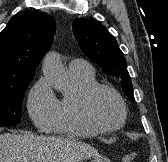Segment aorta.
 Here are the masks:
<instances>
[{
  "instance_id": "762f6f07",
  "label": "aorta",
  "mask_w": 168,
  "mask_h": 162,
  "mask_svg": "<svg viewBox=\"0 0 168 162\" xmlns=\"http://www.w3.org/2000/svg\"><path fill=\"white\" fill-rule=\"evenodd\" d=\"M43 74L57 90L64 93L67 92L69 75L55 52H49L45 56Z\"/></svg>"
}]
</instances>
